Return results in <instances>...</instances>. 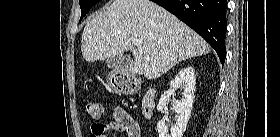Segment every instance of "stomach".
Segmentation results:
<instances>
[{
    "label": "stomach",
    "mask_w": 280,
    "mask_h": 137,
    "mask_svg": "<svg viewBox=\"0 0 280 137\" xmlns=\"http://www.w3.org/2000/svg\"><path fill=\"white\" fill-rule=\"evenodd\" d=\"M110 86L115 90V91H118V92H126V86L125 84L121 83V82H114V81H110Z\"/></svg>",
    "instance_id": "0dacf381"
}]
</instances>
